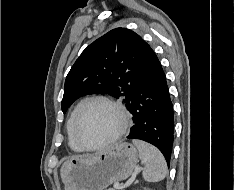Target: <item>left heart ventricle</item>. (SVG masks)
Returning <instances> with one entry per match:
<instances>
[{"mask_svg": "<svg viewBox=\"0 0 234 190\" xmlns=\"http://www.w3.org/2000/svg\"><path fill=\"white\" fill-rule=\"evenodd\" d=\"M119 125L120 120L114 109L103 103H95L85 111L78 137L88 146L98 145L111 138Z\"/></svg>", "mask_w": 234, "mask_h": 190, "instance_id": "b2bd125f", "label": "left heart ventricle"}]
</instances>
